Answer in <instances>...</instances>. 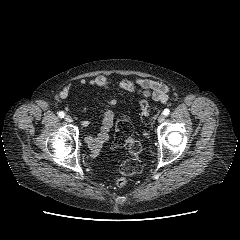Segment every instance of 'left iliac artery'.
Masks as SVG:
<instances>
[{
	"label": "left iliac artery",
	"mask_w": 240,
	"mask_h": 240,
	"mask_svg": "<svg viewBox=\"0 0 240 240\" xmlns=\"http://www.w3.org/2000/svg\"><path fill=\"white\" fill-rule=\"evenodd\" d=\"M169 113H170V110H169L168 108L164 109L163 114H164L165 116H168Z\"/></svg>",
	"instance_id": "left-iliac-artery-1"
}]
</instances>
